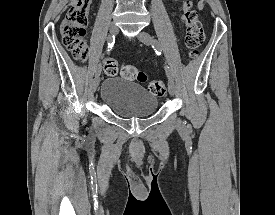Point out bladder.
<instances>
[{
    "instance_id": "1",
    "label": "bladder",
    "mask_w": 275,
    "mask_h": 215,
    "mask_svg": "<svg viewBox=\"0 0 275 215\" xmlns=\"http://www.w3.org/2000/svg\"><path fill=\"white\" fill-rule=\"evenodd\" d=\"M100 100L118 117L128 119L151 116L158 106L156 94L143 89L137 82L117 76L105 79Z\"/></svg>"
}]
</instances>
